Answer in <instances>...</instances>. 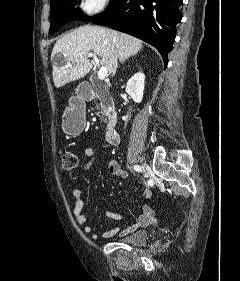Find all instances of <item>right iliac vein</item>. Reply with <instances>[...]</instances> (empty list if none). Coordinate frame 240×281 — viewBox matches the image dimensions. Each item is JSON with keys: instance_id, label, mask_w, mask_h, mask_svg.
<instances>
[{"instance_id": "1", "label": "right iliac vein", "mask_w": 240, "mask_h": 281, "mask_svg": "<svg viewBox=\"0 0 240 281\" xmlns=\"http://www.w3.org/2000/svg\"><path fill=\"white\" fill-rule=\"evenodd\" d=\"M142 170H143V175L145 176V177H148L149 176V174H150V168H149V166L147 165V164H142Z\"/></svg>"}]
</instances>
